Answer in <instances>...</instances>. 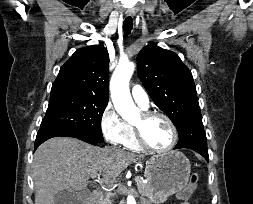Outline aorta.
I'll use <instances>...</instances> for the list:
<instances>
[{"label":"aorta","instance_id":"762f6f07","mask_svg":"<svg viewBox=\"0 0 253 204\" xmlns=\"http://www.w3.org/2000/svg\"><path fill=\"white\" fill-rule=\"evenodd\" d=\"M134 69V63L120 62L110 81L112 102L116 111L126 121H132L139 116V109L135 106L129 90V81ZM127 204H136L133 196H128Z\"/></svg>","mask_w":253,"mask_h":204}]
</instances>
